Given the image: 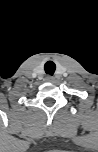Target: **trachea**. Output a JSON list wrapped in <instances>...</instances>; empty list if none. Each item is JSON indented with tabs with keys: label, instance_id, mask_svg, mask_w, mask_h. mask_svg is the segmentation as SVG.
Wrapping results in <instances>:
<instances>
[{
	"label": "trachea",
	"instance_id": "3493384b",
	"mask_svg": "<svg viewBox=\"0 0 98 152\" xmlns=\"http://www.w3.org/2000/svg\"><path fill=\"white\" fill-rule=\"evenodd\" d=\"M55 69H56V65L52 61H48L44 65V70H45L46 74L53 75L55 72Z\"/></svg>",
	"mask_w": 98,
	"mask_h": 152
}]
</instances>
